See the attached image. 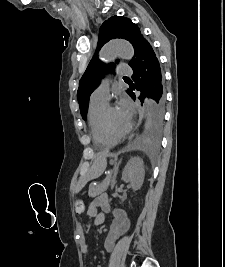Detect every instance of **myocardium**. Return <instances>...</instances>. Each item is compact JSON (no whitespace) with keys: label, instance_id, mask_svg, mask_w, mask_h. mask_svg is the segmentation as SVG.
Segmentation results:
<instances>
[{"label":"myocardium","instance_id":"obj_1","mask_svg":"<svg viewBox=\"0 0 225 267\" xmlns=\"http://www.w3.org/2000/svg\"><path fill=\"white\" fill-rule=\"evenodd\" d=\"M112 108H115V106L107 104L106 107L104 108V110L102 111V114H101V127H102V130H103L104 134L107 137L111 138L115 142H118V141H120V140H122V139H124L126 137V135L130 132V130L132 128V125L129 124L127 129L124 132L120 133V134L113 133L111 131V129L109 128L108 123H107V115H108V112Z\"/></svg>","mask_w":225,"mask_h":267}]
</instances>
